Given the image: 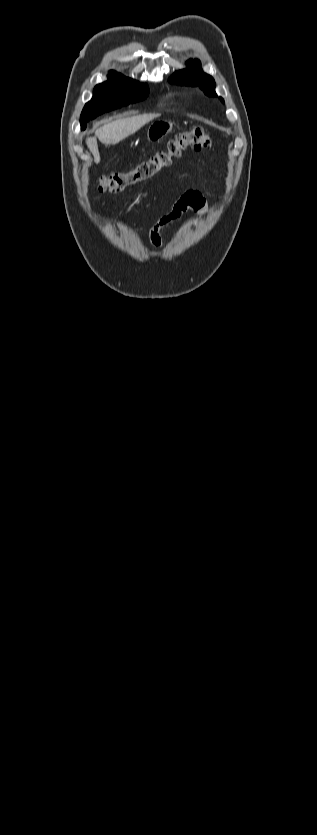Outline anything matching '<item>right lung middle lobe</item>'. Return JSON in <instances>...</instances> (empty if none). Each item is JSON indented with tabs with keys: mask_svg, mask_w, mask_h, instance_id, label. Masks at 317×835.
<instances>
[{
	"mask_svg": "<svg viewBox=\"0 0 317 835\" xmlns=\"http://www.w3.org/2000/svg\"><path fill=\"white\" fill-rule=\"evenodd\" d=\"M109 80L96 85L93 98L86 103L80 117L81 129L86 128V122L98 115L145 99L149 89L147 84L126 78L113 72Z\"/></svg>",
	"mask_w": 317,
	"mask_h": 835,
	"instance_id": "1",
	"label": "right lung middle lobe"
}]
</instances>
